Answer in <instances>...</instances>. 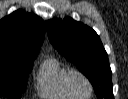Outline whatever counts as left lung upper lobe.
I'll use <instances>...</instances> for the list:
<instances>
[{
  "instance_id": "1",
  "label": "left lung upper lobe",
  "mask_w": 128,
  "mask_h": 99,
  "mask_svg": "<svg viewBox=\"0 0 128 99\" xmlns=\"http://www.w3.org/2000/svg\"><path fill=\"white\" fill-rule=\"evenodd\" d=\"M52 45L90 80L98 99H114L108 55L96 32L71 18L46 21Z\"/></svg>"
}]
</instances>
